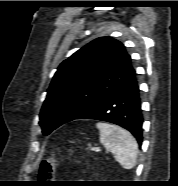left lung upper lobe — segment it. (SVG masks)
<instances>
[{
  "label": "left lung upper lobe",
  "instance_id": "1",
  "mask_svg": "<svg viewBox=\"0 0 178 186\" xmlns=\"http://www.w3.org/2000/svg\"><path fill=\"white\" fill-rule=\"evenodd\" d=\"M134 74L122 43L111 37L91 41L58 67L40 113L43 134L72 121Z\"/></svg>",
  "mask_w": 178,
  "mask_h": 186
}]
</instances>
